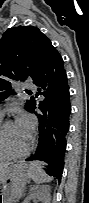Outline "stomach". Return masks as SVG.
<instances>
[{
  "label": "stomach",
  "instance_id": "1",
  "mask_svg": "<svg viewBox=\"0 0 89 203\" xmlns=\"http://www.w3.org/2000/svg\"><path fill=\"white\" fill-rule=\"evenodd\" d=\"M26 172H22L20 168L11 165L6 169L2 180V192L4 194V203H15L22 196V189L28 180Z\"/></svg>",
  "mask_w": 89,
  "mask_h": 203
}]
</instances>
